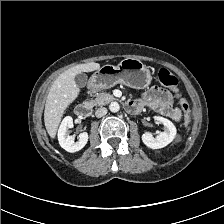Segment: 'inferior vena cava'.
<instances>
[{
  "label": "inferior vena cava",
  "mask_w": 224,
  "mask_h": 224,
  "mask_svg": "<svg viewBox=\"0 0 224 224\" xmlns=\"http://www.w3.org/2000/svg\"><path fill=\"white\" fill-rule=\"evenodd\" d=\"M107 114V109L105 107L98 108L95 112L97 118H101Z\"/></svg>",
  "instance_id": "1"
}]
</instances>
